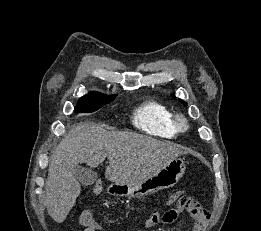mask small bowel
Wrapping results in <instances>:
<instances>
[{
	"instance_id": "c3829d8e",
	"label": "small bowel",
	"mask_w": 261,
	"mask_h": 231,
	"mask_svg": "<svg viewBox=\"0 0 261 231\" xmlns=\"http://www.w3.org/2000/svg\"><path fill=\"white\" fill-rule=\"evenodd\" d=\"M178 217V211L171 209L167 211L164 215L160 214L157 209H154L148 219L145 222V227L149 230L155 227L174 221ZM80 223L84 226L83 231H101L102 227L99 223L93 220L92 211L90 209H85L80 216ZM190 231H205V227L192 223Z\"/></svg>"
}]
</instances>
